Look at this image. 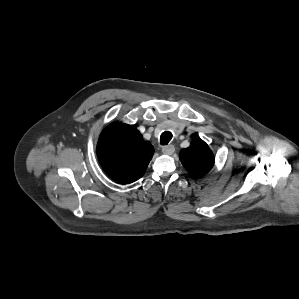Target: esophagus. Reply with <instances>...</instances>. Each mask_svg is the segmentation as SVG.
<instances>
[{
	"mask_svg": "<svg viewBox=\"0 0 299 299\" xmlns=\"http://www.w3.org/2000/svg\"><path fill=\"white\" fill-rule=\"evenodd\" d=\"M175 151V147L173 145H167L162 148V153L165 155H172Z\"/></svg>",
	"mask_w": 299,
	"mask_h": 299,
	"instance_id": "esophagus-1",
	"label": "esophagus"
}]
</instances>
